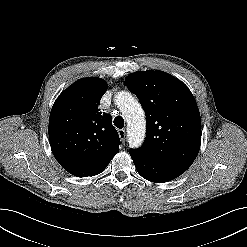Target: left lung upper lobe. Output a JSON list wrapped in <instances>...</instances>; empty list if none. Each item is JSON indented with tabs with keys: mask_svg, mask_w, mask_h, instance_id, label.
<instances>
[{
	"mask_svg": "<svg viewBox=\"0 0 247 247\" xmlns=\"http://www.w3.org/2000/svg\"><path fill=\"white\" fill-rule=\"evenodd\" d=\"M125 83L146 115L145 141L133 151L191 166L200 149L201 118L188 87L165 72L152 70L132 73Z\"/></svg>",
	"mask_w": 247,
	"mask_h": 247,
	"instance_id": "obj_1",
	"label": "left lung upper lobe"
}]
</instances>
